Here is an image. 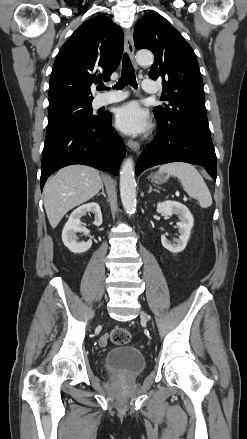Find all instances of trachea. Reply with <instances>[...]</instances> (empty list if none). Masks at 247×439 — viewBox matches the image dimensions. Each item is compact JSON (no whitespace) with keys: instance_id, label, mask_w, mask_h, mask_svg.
<instances>
[{"instance_id":"obj_1","label":"trachea","mask_w":247,"mask_h":439,"mask_svg":"<svg viewBox=\"0 0 247 439\" xmlns=\"http://www.w3.org/2000/svg\"><path fill=\"white\" fill-rule=\"evenodd\" d=\"M126 85H130L134 88H137V82L135 77L134 68L131 64V61L128 57V55H124L123 61H122V71H121V77L118 80V82L115 85L116 89H122ZM106 87L104 85H100L98 87L99 91L105 90Z\"/></svg>"}]
</instances>
